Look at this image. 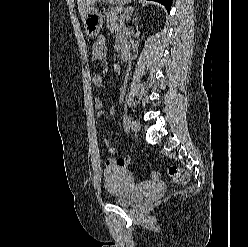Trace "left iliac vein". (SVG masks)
<instances>
[{
    "instance_id": "1",
    "label": "left iliac vein",
    "mask_w": 248,
    "mask_h": 247,
    "mask_svg": "<svg viewBox=\"0 0 248 247\" xmlns=\"http://www.w3.org/2000/svg\"><path fill=\"white\" fill-rule=\"evenodd\" d=\"M140 123L137 121V120H132L131 122V129L134 131V132H139L140 131Z\"/></svg>"
}]
</instances>
